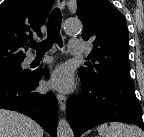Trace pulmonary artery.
Returning <instances> with one entry per match:
<instances>
[{"label": "pulmonary artery", "instance_id": "pulmonary-artery-1", "mask_svg": "<svg viewBox=\"0 0 144 137\" xmlns=\"http://www.w3.org/2000/svg\"><path fill=\"white\" fill-rule=\"evenodd\" d=\"M68 45H69V51L72 54H81L83 52L84 43L81 40L71 39ZM33 59H34V56H31L30 60H33Z\"/></svg>", "mask_w": 144, "mask_h": 137}]
</instances>
